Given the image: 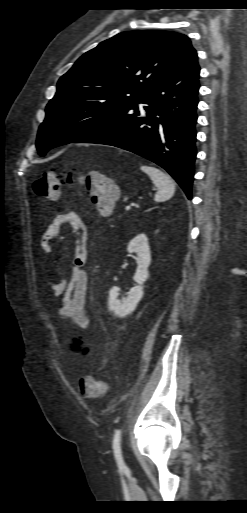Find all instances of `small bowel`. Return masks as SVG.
Masks as SVG:
<instances>
[{"mask_svg":"<svg viewBox=\"0 0 247 513\" xmlns=\"http://www.w3.org/2000/svg\"><path fill=\"white\" fill-rule=\"evenodd\" d=\"M66 225L72 228L76 236L71 275L68 279L60 278L58 281L50 283L49 288L54 297L60 298L59 305L56 308L57 317L70 319L80 329L88 330L90 318L85 302L89 279L85 271L87 261V228L85 222L76 212L56 215L42 233L40 247L43 252L51 253L55 243L64 239L62 229ZM79 344L83 346L81 342Z\"/></svg>","mask_w":247,"mask_h":513,"instance_id":"small-bowel-1","label":"small bowel"}]
</instances>
